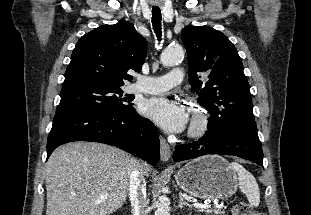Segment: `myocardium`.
I'll list each match as a JSON object with an SVG mask.
<instances>
[{"mask_svg": "<svg viewBox=\"0 0 311 215\" xmlns=\"http://www.w3.org/2000/svg\"><path fill=\"white\" fill-rule=\"evenodd\" d=\"M210 125V116L203 108H193L188 136L193 139L201 138L206 134Z\"/></svg>", "mask_w": 311, "mask_h": 215, "instance_id": "f54148a6", "label": "myocardium"}]
</instances>
